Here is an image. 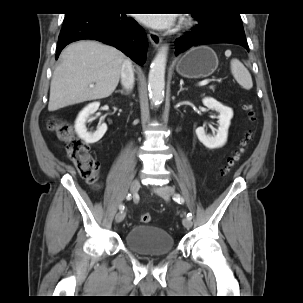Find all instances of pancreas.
Wrapping results in <instances>:
<instances>
[{
  "label": "pancreas",
  "mask_w": 303,
  "mask_h": 303,
  "mask_svg": "<svg viewBox=\"0 0 303 303\" xmlns=\"http://www.w3.org/2000/svg\"><path fill=\"white\" fill-rule=\"evenodd\" d=\"M210 89H211L212 91H214L215 88H214V86H210Z\"/></svg>",
  "instance_id": "pancreas-1"
}]
</instances>
